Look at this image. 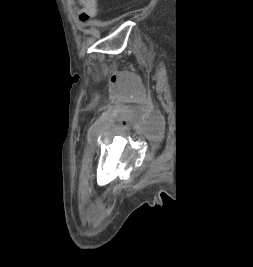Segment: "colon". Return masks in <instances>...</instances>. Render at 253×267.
Masks as SVG:
<instances>
[{
  "label": "colon",
  "mask_w": 253,
  "mask_h": 267,
  "mask_svg": "<svg viewBox=\"0 0 253 267\" xmlns=\"http://www.w3.org/2000/svg\"><path fill=\"white\" fill-rule=\"evenodd\" d=\"M78 1L81 5L79 16L83 21H87L96 15L97 13L96 0H78Z\"/></svg>",
  "instance_id": "5ec220e1"
}]
</instances>
